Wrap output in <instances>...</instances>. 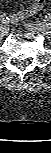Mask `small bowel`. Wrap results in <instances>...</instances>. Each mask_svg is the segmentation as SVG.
I'll return each mask as SVG.
<instances>
[{
	"instance_id": "small-bowel-1",
	"label": "small bowel",
	"mask_w": 51,
	"mask_h": 153,
	"mask_svg": "<svg viewBox=\"0 0 51 153\" xmlns=\"http://www.w3.org/2000/svg\"><path fill=\"white\" fill-rule=\"evenodd\" d=\"M42 2H37L36 0L33 1V3L25 8L22 9L18 12L12 13L8 15V18L11 22H18L21 20L26 19L27 17H30L34 14H36L37 12H39L40 10L43 9V7L45 6V1L41 0Z\"/></svg>"
}]
</instances>
